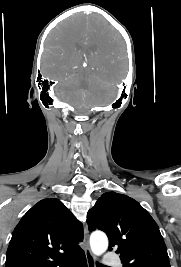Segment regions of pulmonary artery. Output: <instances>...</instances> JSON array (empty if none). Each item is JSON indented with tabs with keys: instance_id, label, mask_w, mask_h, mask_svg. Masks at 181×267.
Returning a JSON list of instances; mask_svg holds the SVG:
<instances>
[{
	"instance_id": "obj_1",
	"label": "pulmonary artery",
	"mask_w": 181,
	"mask_h": 267,
	"mask_svg": "<svg viewBox=\"0 0 181 267\" xmlns=\"http://www.w3.org/2000/svg\"><path fill=\"white\" fill-rule=\"evenodd\" d=\"M103 262L105 265H117L120 263L118 258H115L108 254L104 256Z\"/></svg>"
}]
</instances>
